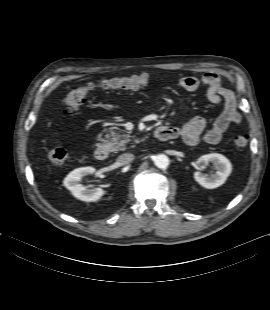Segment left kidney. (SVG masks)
<instances>
[{
    "label": "left kidney",
    "instance_id": "5707ae66",
    "mask_svg": "<svg viewBox=\"0 0 270 310\" xmlns=\"http://www.w3.org/2000/svg\"><path fill=\"white\" fill-rule=\"evenodd\" d=\"M212 163L216 172L210 175L203 174L200 171L194 173V179L202 187L207 189H214L225 183L227 177L232 171V165L230 161L223 155L218 153H211L202 155L196 161L198 169H201L203 165Z\"/></svg>",
    "mask_w": 270,
    "mask_h": 310
}]
</instances>
